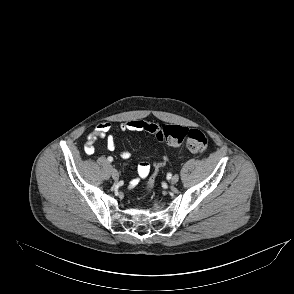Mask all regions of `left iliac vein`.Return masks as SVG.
I'll list each match as a JSON object with an SVG mask.
<instances>
[{
    "label": "left iliac vein",
    "instance_id": "1",
    "mask_svg": "<svg viewBox=\"0 0 294 294\" xmlns=\"http://www.w3.org/2000/svg\"><path fill=\"white\" fill-rule=\"evenodd\" d=\"M179 181V176L178 175H174L173 177H172V179H170V183L171 184H175V183H177Z\"/></svg>",
    "mask_w": 294,
    "mask_h": 294
}]
</instances>
